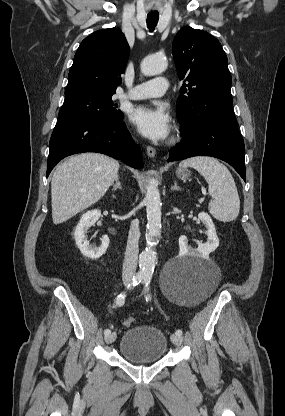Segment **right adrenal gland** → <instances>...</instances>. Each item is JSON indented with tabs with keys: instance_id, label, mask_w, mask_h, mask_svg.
<instances>
[{
	"instance_id": "1",
	"label": "right adrenal gland",
	"mask_w": 285,
	"mask_h": 416,
	"mask_svg": "<svg viewBox=\"0 0 285 416\" xmlns=\"http://www.w3.org/2000/svg\"><path fill=\"white\" fill-rule=\"evenodd\" d=\"M122 190V186H121V182H119V174H117L116 178H115V184L112 188V192H115V190Z\"/></svg>"
}]
</instances>
